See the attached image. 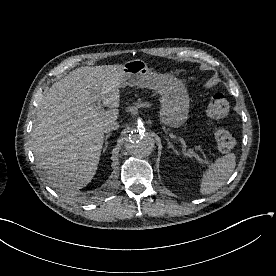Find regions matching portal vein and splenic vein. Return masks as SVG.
I'll return each instance as SVG.
<instances>
[{"label": "portal vein and splenic vein", "mask_w": 276, "mask_h": 276, "mask_svg": "<svg viewBox=\"0 0 276 276\" xmlns=\"http://www.w3.org/2000/svg\"><path fill=\"white\" fill-rule=\"evenodd\" d=\"M96 98H98V96L96 95ZM96 110L97 111H102V103L100 100H97V106H95ZM182 144H183V147L184 148H187V145L184 141H182ZM188 153L191 155V156H194V157H197L198 160H201L198 156L195 155V153L193 152L192 149H188Z\"/></svg>", "instance_id": "portal-vein-and-splenic-vein-1"}]
</instances>
